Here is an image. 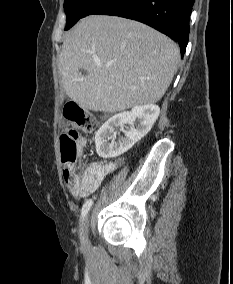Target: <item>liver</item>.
Masks as SVG:
<instances>
[{"label":"liver","mask_w":233,"mask_h":284,"mask_svg":"<svg viewBox=\"0 0 233 284\" xmlns=\"http://www.w3.org/2000/svg\"><path fill=\"white\" fill-rule=\"evenodd\" d=\"M179 60L178 45L155 29L92 15L80 20L63 42L58 69L66 95L80 107L116 113L158 102Z\"/></svg>","instance_id":"6515ba94"}]
</instances>
